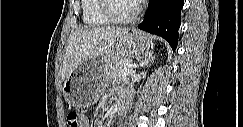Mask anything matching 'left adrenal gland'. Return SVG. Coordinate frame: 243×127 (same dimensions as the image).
I'll use <instances>...</instances> for the list:
<instances>
[{"label": "left adrenal gland", "instance_id": "1", "mask_svg": "<svg viewBox=\"0 0 243 127\" xmlns=\"http://www.w3.org/2000/svg\"><path fill=\"white\" fill-rule=\"evenodd\" d=\"M154 59L155 57L153 56V52H150L147 56H145L144 60L140 63V67L147 66L149 62H151Z\"/></svg>", "mask_w": 243, "mask_h": 127}]
</instances>
